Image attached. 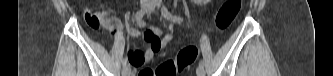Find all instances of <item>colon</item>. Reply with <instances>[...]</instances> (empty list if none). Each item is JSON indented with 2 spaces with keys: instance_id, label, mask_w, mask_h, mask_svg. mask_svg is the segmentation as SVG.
<instances>
[{
  "instance_id": "1",
  "label": "colon",
  "mask_w": 333,
  "mask_h": 76,
  "mask_svg": "<svg viewBox=\"0 0 333 76\" xmlns=\"http://www.w3.org/2000/svg\"><path fill=\"white\" fill-rule=\"evenodd\" d=\"M242 7V0H227L217 12L215 26L218 31H225L236 19ZM198 48L194 45L184 47L175 59H168L156 69L141 70L138 76H176L190 67L198 57Z\"/></svg>"
}]
</instances>
